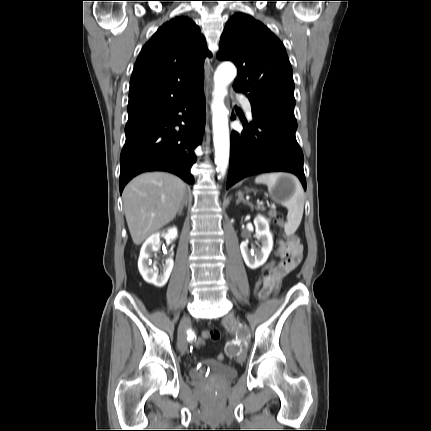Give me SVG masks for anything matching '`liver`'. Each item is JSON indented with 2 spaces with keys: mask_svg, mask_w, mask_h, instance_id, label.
Masks as SVG:
<instances>
[{
  "mask_svg": "<svg viewBox=\"0 0 431 431\" xmlns=\"http://www.w3.org/2000/svg\"><path fill=\"white\" fill-rule=\"evenodd\" d=\"M186 185L164 172L144 173L130 181L123 191V206L134 244L171 222L180 209Z\"/></svg>",
  "mask_w": 431,
  "mask_h": 431,
  "instance_id": "1",
  "label": "liver"
}]
</instances>
